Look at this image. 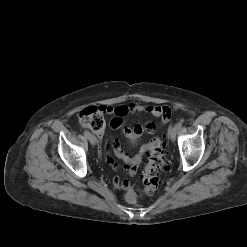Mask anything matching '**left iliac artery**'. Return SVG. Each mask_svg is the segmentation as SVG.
<instances>
[{
  "mask_svg": "<svg viewBox=\"0 0 247 247\" xmlns=\"http://www.w3.org/2000/svg\"><path fill=\"white\" fill-rule=\"evenodd\" d=\"M176 126H177L178 129H181V128H182V122H178V123L176 124Z\"/></svg>",
  "mask_w": 247,
  "mask_h": 247,
  "instance_id": "obj_1",
  "label": "left iliac artery"
}]
</instances>
